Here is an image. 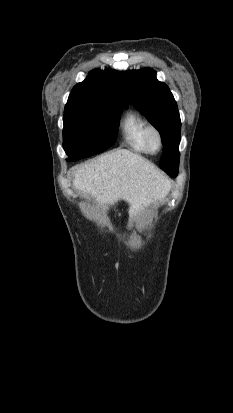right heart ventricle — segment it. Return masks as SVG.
Returning a JSON list of instances; mask_svg holds the SVG:
<instances>
[{
  "label": "right heart ventricle",
  "mask_w": 233,
  "mask_h": 413,
  "mask_svg": "<svg viewBox=\"0 0 233 413\" xmlns=\"http://www.w3.org/2000/svg\"><path fill=\"white\" fill-rule=\"evenodd\" d=\"M149 123L136 110H128L120 123L124 142L136 152L148 153L144 135Z\"/></svg>",
  "instance_id": "obj_1"
}]
</instances>
